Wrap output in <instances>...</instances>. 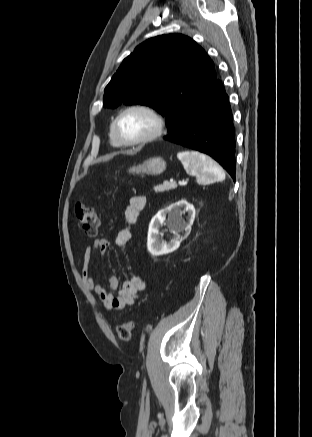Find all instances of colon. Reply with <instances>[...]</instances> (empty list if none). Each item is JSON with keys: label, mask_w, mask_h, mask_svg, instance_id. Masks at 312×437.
<instances>
[{"label": "colon", "mask_w": 312, "mask_h": 437, "mask_svg": "<svg viewBox=\"0 0 312 437\" xmlns=\"http://www.w3.org/2000/svg\"><path fill=\"white\" fill-rule=\"evenodd\" d=\"M76 217L83 231L90 237L95 236L98 230V218L95 210L85 204L78 203L75 207ZM134 323L123 322L116 328L118 338L123 342H130L133 339Z\"/></svg>", "instance_id": "obj_1"}]
</instances>
